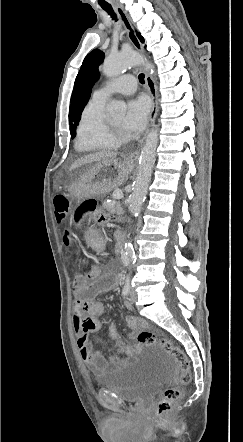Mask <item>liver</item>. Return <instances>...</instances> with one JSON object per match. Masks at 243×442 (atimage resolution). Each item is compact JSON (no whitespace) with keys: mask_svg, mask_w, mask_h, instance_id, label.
<instances>
[{"mask_svg":"<svg viewBox=\"0 0 243 442\" xmlns=\"http://www.w3.org/2000/svg\"><path fill=\"white\" fill-rule=\"evenodd\" d=\"M117 156V153L110 152V151H100L97 153H93L90 155H86L84 157H81L80 159L76 160L70 167V171L79 168L83 165L91 164L93 162H100L103 160H109V159H115Z\"/></svg>","mask_w":243,"mask_h":442,"instance_id":"6515ba94","label":"liver"}]
</instances>
